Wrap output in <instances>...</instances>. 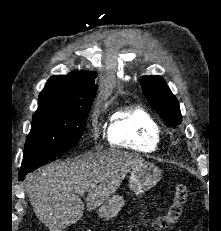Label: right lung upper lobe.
<instances>
[{"instance_id":"cb5924a9","label":"right lung upper lobe","mask_w":221,"mask_h":231,"mask_svg":"<svg viewBox=\"0 0 221 231\" xmlns=\"http://www.w3.org/2000/svg\"><path fill=\"white\" fill-rule=\"evenodd\" d=\"M95 72L76 71L52 76L39 95L38 109L75 107L93 102Z\"/></svg>"}]
</instances>
